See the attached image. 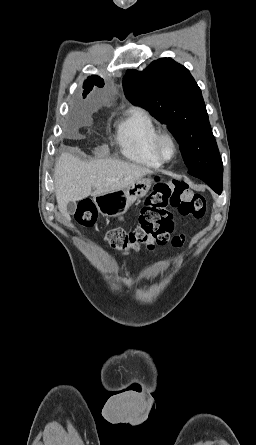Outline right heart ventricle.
<instances>
[{"label":"right heart ventricle","mask_w":256,"mask_h":445,"mask_svg":"<svg viewBox=\"0 0 256 445\" xmlns=\"http://www.w3.org/2000/svg\"><path fill=\"white\" fill-rule=\"evenodd\" d=\"M159 128L143 109L135 108L116 126V141L122 154L128 159L147 167L162 165L153 150V141Z\"/></svg>","instance_id":"obj_1"}]
</instances>
